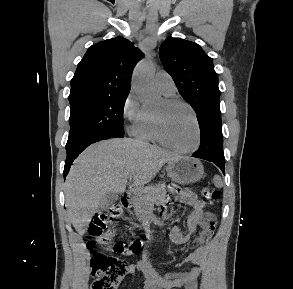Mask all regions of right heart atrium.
<instances>
[{"label": "right heart atrium", "mask_w": 293, "mask_h": 289, "mask_svg": "<svg viewBox=\"0 0 293 289\" xmlns=\"http://www.w3.org/2000/svg\"><path fill=\"white\" fill-rule=\"evenodd\" d=\"M121 113L127 131L135 135L144 119L145 109L133 92H130L124 100Z\"/></svg>", "instance_id": "obj_1"}]
</instances>
